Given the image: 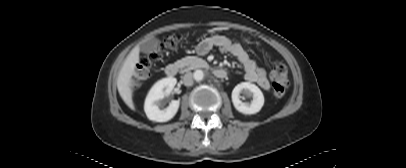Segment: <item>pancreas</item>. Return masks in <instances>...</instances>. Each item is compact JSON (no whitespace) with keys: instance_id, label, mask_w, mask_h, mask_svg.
I'll return each instance as SVG.
<instances>
[{"instance_id":"obj_1","label":"pancreas","mask_w":406,"mask_h":168,"mask_svg":"<svg viewBox=\"0 0 406 168\" xmlns=\"http://www.w3.org/2000/svg\"><path fill=\"white\" fill-rule=\"evenodd\" d=\"M178 62L183 67H186L188 69H196L198 67L206 66V64H207L205 60L195 57V56H188V57L182 58Z\"/></svg>"}]
</instances>
